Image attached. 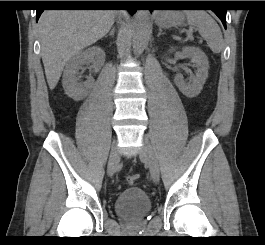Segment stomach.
Segmentation results:
<instances>
[{"label":"stomach","instance_id":"obj_1","mask_svg":"<svg viewBox=\"0 0 265 245\" xmlns=\"http://www.w3.org/2000/svg\"><path fill=\"white\" fill-rule=\"evenodd\" d=\"M156 20L160 27L171 28L182 25L184 22V15L178 11L161 12Z\"/></svg>","mask_w":265,"mask_h":245}]
</instances>
